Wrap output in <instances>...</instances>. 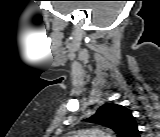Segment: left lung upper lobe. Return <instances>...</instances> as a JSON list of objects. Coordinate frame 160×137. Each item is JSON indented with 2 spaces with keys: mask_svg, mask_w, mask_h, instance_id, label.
Wrapping results in <instances>:
<instances>
[{
  "mask_svg": "<svg viewBox=\"0 0 160 137\" xmlns=\"http://www.w3.org/2000/svg\"><path fill=\"white\" fill-rule=\"evenodd\" d=\"M88 122L101 124L112 128L119 137H129L137 128L135 118L131 111L118 104H105L97 112L86 119Z\"/></svg>",
  "mask_w": 160,
  "mask_h": 137,
  "instance_id": "left-lung-upper-lobe-1",
  "label": "left lung upper lobe"
}]
</instances>
